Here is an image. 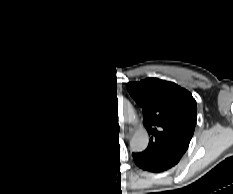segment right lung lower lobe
I'll return each mask as SVG.
<instances>
[{"mask_svg": "<svg viewBox=\"0 0 233 194\" xmlns=\"http://www.w3.org/2000/svg\"><path fill=\"white\" fill-rule=\"evenodd\" d=\"M102 155H103V152L98 156V158L93 162V163H91V164H95V163H97L99 160H100V158L102 157Z\"/></svg>", "mask_w": 233, "mask_h": 194, "instance_id": "right-lung-lower-lobe-1", "label": "right lung lower lobe"}]
</instances>
